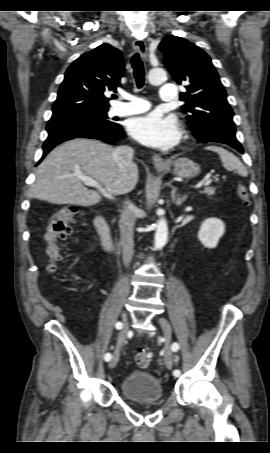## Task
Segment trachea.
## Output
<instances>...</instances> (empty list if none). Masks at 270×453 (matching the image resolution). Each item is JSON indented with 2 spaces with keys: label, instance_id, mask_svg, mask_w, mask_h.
I'll return each instance as SVG.
<instances>
[{
  "label": "trachea",
  "instance_id": "1",
  "mask_svg": "<svg viewBox=\"0 0 270 453\" xmlns=\"http://www.w3.org/2000/svg\"><path fill=\"white\" fill-rule=\"evenodd\" d=\"M131 65L133 68V75L136 81L137 88H142L145 82V72L143 62L138 53L132 56Z\"/></svg>",
  "mask_w": 270,
  "mask_h": 453
}]
</instances>
